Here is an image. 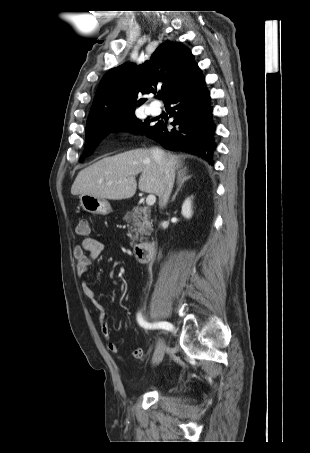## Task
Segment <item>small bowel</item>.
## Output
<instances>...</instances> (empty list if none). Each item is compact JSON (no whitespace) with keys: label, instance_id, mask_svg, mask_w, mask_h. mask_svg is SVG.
I'll use <instances>...</instances> for the list:
<instances>
[{"label":"small bowel","instance_id":"small-bowel-1","mask_svg":"<svg viewBox=\"0 0 310 453\" xmlns=\"http://www.w3.org/2000/svg\"><path fill=\"white\" fill-rule=\"evenodd\" d=\"M103 248V243L93 237L84 238L81 244L74 247L73 256L77 261V274L79 276H82L88 271L93 261L101 255ZM81 288L84 295L91 301L98 313L101 332L107 340V348L109 352L114 355H118V346L115 342L110 340V325L104 306L98 301L95 290L86 281L82 282ZM143 356L144 350L142 348H136L134 350L133 357L135 359L140 360Z\"/></svg>","mask_w":310,"mask_h":453}]
</instances>
